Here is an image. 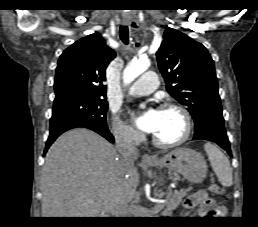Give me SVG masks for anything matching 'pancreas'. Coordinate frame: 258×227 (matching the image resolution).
Segmentation results:
<instances>
[{
	"label": "pancreas",
	"instance_id": "1",
	"mask_svg": "<svg viewBox=\"0 0 258 227\" xmlns=\"http://www.w3.org/2000/svg\"><path fill=\"white\" fill-rule=\"evenodd\" d=\"M192 190V187L181 189L180 191H175L173 194H169L168 201L164 204L163 210H153V212H159L162 210L161 214L165 217L166 215L172 214V212L180 205L182 199L187 195L188 192ZM130 214H135L133 217H139L136 210H130ZM142 212L147 213L148 210L144 209Z\"/></svg>",
	"mask_w": 258,
	"mask_h": 227
}]
</instances>
